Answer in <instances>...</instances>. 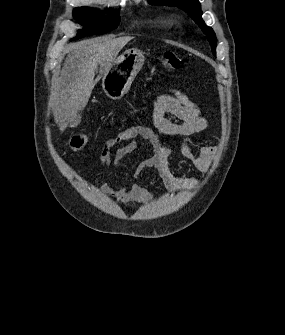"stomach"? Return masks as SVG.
<instances>
[{
    "label": "stomach",
    "mask_w": 285,
    "mask_h": 335,
    "mask_svg": "<svg viewBox=\"0 0 285 335\" xmlns=\"http://www.w3.org/2000/svg\"><path fill=\"white\" fill-rule=\"evenodd\" d=\"M144 64V56L140 50L131 48L126 50L121 56L115 58L111 68L106 70L102 78V88L111 100H120L128 90L140 72Z\"/></svg>",
    "instance_id": "obj_1"
}]
</instances>
